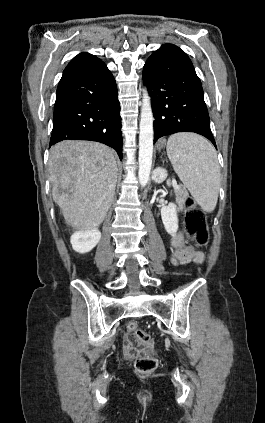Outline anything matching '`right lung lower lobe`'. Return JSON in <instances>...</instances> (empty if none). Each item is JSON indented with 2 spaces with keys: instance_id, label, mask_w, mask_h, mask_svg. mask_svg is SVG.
<instances>
[{
  "instance_id": "98d812e1",
  "label": "right lung lower lobe",
  "mask_w": 265,
  "mask_h": 423,
  "mask_svg": "<svg viewBox=\"0 0 265 423\" xmlns=\"http://www.w3.org/2000/svg\"><path fill=\"white\" fill-rule=\"evenodd\" d=\"M114 77L97 57L81 53L59 82L50 146L62 140H91L114 148L122 159L120 105Z\"/></svg>"
}]
</instances>
